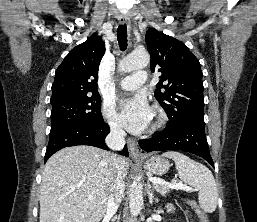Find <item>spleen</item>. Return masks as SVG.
Returning <instances> with one entry per match:
<instances>
[{"label": "spleen", "instance_id": "1", "mask_svg": "<svg viewBox=\"0 0 257 222\" xmlns=\"http://www.w3.org/2000/svg\"><path fill=\"white\" fill-rule=\"evenodd\" d=\"M162 156L173 159L180 180L199 191L198 200L201 209L206 213L214 212L217 207L218 192L211 171L205 165L176 151L165 152Z\"/></svg>", "mask_w": 257, "mask_h": 222}]
</instances>
